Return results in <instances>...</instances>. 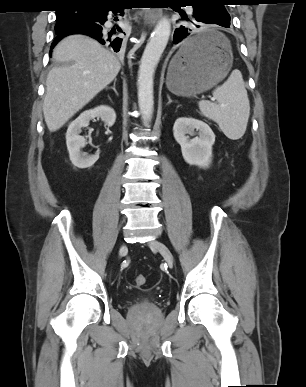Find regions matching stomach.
<instances>
[{
    "mask_svg": "<svg viewBox=\"0 0 306 387\" xmlns=\"http://www.w3.org/2000/svg\"><path fill=\"white\" fill-rule=\"evenodd\" d=\"M207 33L213 35L208 53L194 59L182 57L181 49L172 58L167 72L168 89L179 96H195L205 92L225 78L232 67L233 55L228 39L215 31L196 34L198 39Z\"/></svg>",
    "mask_w": 306,
    "mask_h": 387,
    "instance_id": "obj_1",
    "label": "stomach"
}]
</instances>
